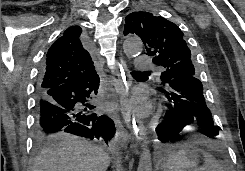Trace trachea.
Returning <instances> with one entry per match:
<instances>
[{
  "label": "trachea",
  "instance_id": "1",
  "mask_svg": "<svg viewBox=\"0 0 245 171\" xmlns=\"http://www.w3.org/2000/svg\"><path fill=\"white\" fill-rule=\"evenodd\" d=\"M142 72H132V75H138L141 74Z\"/></svg>",
  "mask_w": 245,
  "mask_h": 171
}]
</instances>
